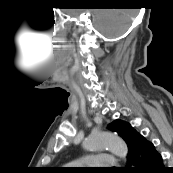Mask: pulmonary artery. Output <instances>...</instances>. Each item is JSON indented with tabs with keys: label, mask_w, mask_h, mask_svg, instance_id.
Returning <instances> with one entry per match:
<instances>
[{
	"label": "pulmonary artery",
	"mask_w": 173,
	"mask_h": 173,
	"mask_svg": "<svg viewBox=\"0 0 173 173\" xmlns=\"http://www.w3.org/2000/svg\"><path fill=\"white\" fill-rule=\"evenodd\" d=\"M116 164L115 157L110 154L87 156L71 162V165L74 166H90L96 168H107L115 166Z\"/></svg>",
	"instance_id": "obj_1"
}]
</instances>
